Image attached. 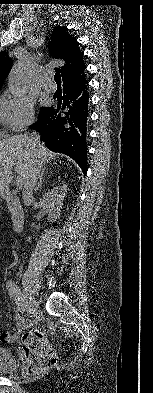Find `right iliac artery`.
Returning a JSON list of instances; mask_svg holds the SVG:
<instances>
[{"label":"right iliac artery","instance_id":"obj_1","mask_svg":"<svg viewBox=\"0 0 153 393\" xmlns=\"http://www.w3.org/2000/svg\"><path fill=\"white\" fill-rule=\"evenodd\" d=\"M6 287L9 291L10 297L16 301L18 309L20 310V308L25 303V297H23V294H21L20 288L16 286L11 280L7 282Z\"/></svg>","mask_w":153,"mask_h":393}]
</instances>
